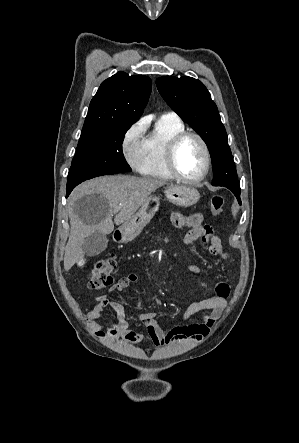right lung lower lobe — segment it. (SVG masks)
Returning a JSON list of instances; mask_svg holds the SVG:
<instances>
[{
    "label": "right lung lower lobe",
    "instance_id": "98d812e1",
    "mask_svg": "<svg viewBox=\"0 0 299 443\" xmlns=\"http://www.w3.org/2000/svg\"><path fill=\"white\" fill-rule=\"evenodd\" d=\"M74 187H75V185L67 186V194H66V197H68V195L71 193V191L73 190Z\"/></svg>",
    "mask_w": 299,
    "mask_h": 443
}]
</instances>
